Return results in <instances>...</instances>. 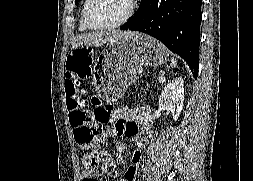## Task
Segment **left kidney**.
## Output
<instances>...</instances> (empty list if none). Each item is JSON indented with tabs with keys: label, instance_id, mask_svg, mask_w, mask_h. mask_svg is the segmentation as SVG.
<instances>
[{
	"label": "left kidney",
	"instance_id": "5707ae66",
	"mask_svg": "<svg viewBox=\"0 0 253 181\" xmlns=\"http://www.w3.org/2000/svg\"><path fill=\"white\" fill-rule=\"evenodd\" d=\"M183 84L181 77L172 80L164 87L159 97V107L171 111L175 121L179 118L184 106Z\"/></svg>",
	"mask_w": 253,
	"mask_h": 181
}]
</instances>
